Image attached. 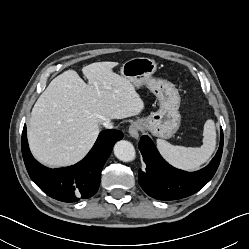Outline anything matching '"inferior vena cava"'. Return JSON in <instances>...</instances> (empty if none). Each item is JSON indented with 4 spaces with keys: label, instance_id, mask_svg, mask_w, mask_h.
<instances>
[{
    "label": "inferior vena cava",
    "instance_id": "inferior-vena-cava-1",
    "mask_svg": "<svg viewBox=\"0 0 249 249\" xmlns=\"http://www.w3.org/2000/svg\"><path fill=\"white\" fill-rule=\"evenodd\" d=\"M102 125H103L106 129H112V128H113V123H112L110 120H107V121L103 122Z\"/></svg>",
    "mask_w": 249,
    "mask_h": 249
}]
</instances>
